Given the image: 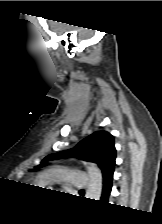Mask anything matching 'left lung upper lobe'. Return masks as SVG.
I'll return each mask as SVG.
<instances>
[{
    "label": "left lung upper lobe",
    "mask_w": 162,
    "mask_h": 224,
    "mask_svg": "<svg viewBox=\"0 0 162 224\" xmlns=\"http://www.w3.org/2000/svg\"><path fill=\"white\" fill-rule=\"evenodd\" d=\"M67 157H76L96 163L102 171L103 178H105L115 168L114 138L107 131H97L80 141L74 148L48 155L44 158L42 164L35 168L43 167V163L46 161Z\"/></svg>",
    "instance_id": "left-lung-upper-lobe-1"
}]
</instances>
